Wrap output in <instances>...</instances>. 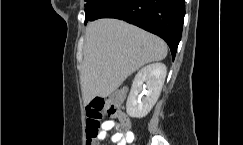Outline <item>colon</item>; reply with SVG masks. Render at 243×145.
Wrapping results in <instances>:
<instances>
[{
	"label": "colon",
	"instance_id": "colon-1",
	"mask_svg": "<svg viewBox=\"0 0 243 145\" xmlns=\"http://www.w3.org/2000/svg\"><path fill=\"white\" fill-rule=\"evenodd\" d=\"M119 100V96L112 99L98 98L92 100L86 107V145H97L96 139L102 126L101 120L104 115H108L113 118H117L119 116ZM120 126L122 128H128V120L121 119Z\"/></svg>",
	"mask_w": 243,
	"mask_h": 145
}]
</instances>
